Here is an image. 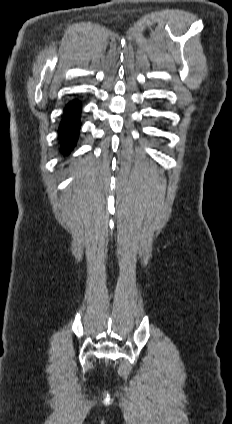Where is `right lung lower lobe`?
Masks as SVG:
<instances>
[{
	"label": "right lung lower lobe",
	"mask_w": 232,
	"mask_h": 424,
	"mask_svg": "<svg viewBox=\"0 0 232 424\" xmlns=\"http://www.w3.org/2000/svg\"><path fill=\"white\" fill-rule=\"evenodd\" d=\"M80 110L81 104L78 101L70 102L65 109L59 131V138L61 140L62 149L66 154L71 151L78 137Z\"/></svg>",
	"instance_id": "obj_1"
}]
</instances>
